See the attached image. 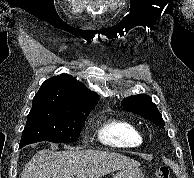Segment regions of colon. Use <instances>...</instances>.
<instances>
[{"instance_id":"obj_1","label":"colon","mask_w":194,"mask_h":178,"mask_svg":"<svg viewBox=\"0 0 194 178\" xmlns=\"http://www.w3.org/2000/svg\"><path fill=\"white\" fill-rule=\"evenodd\" d=\"M156 178H170V169L167 166H161L155 171Z\"/></svg>"}]
</instances>
